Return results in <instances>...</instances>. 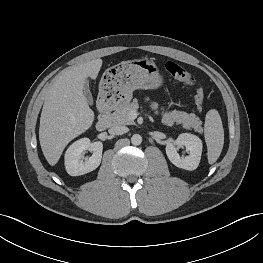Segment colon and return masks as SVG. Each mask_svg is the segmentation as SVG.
<instances>
[{
	"label": "colon",
	"mask_w": 263,
	"mask_h": 263,
	"mask_svg": "<svg viewBox=\"0 0 263 263\" xmlns=\"http://www.w3.org/2000/svg\"><path fill=\"white\" fill-rule=\"evenodd\" d=\"M165 67L167 72L174 79L184 82L185 84H187L193 89L196 103L199 108H202L204 104L205 96L203 89L196 82L194 76L191 73H189L186 69H184L182 66H180L179 64L173 61H168Z\"/></svg>",
	"instance_id": "1"
}]
</instances>
